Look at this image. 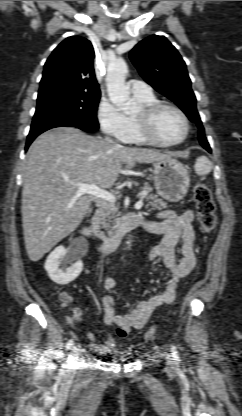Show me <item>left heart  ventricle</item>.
Returning <instances> with one entry per match:
<instances>
[{
    "mask_svg": "<svg viewBox=\"0 0 242 416\" xmlns=\"http://www.w3.org/2000/svg\"><path fill=\"white\" fill-rule=\"evenodd\" d=\"M153 128L156 135L165 141L177 140L184 132L182 119L171 109H163L155 116Z\"/></svg>",
    "mask_w": 242,
    "mask_h": 416,
    "instance_id": "left-heart-ventricle-1",
    "label": "left heart ventricle"
}]
</instances>
